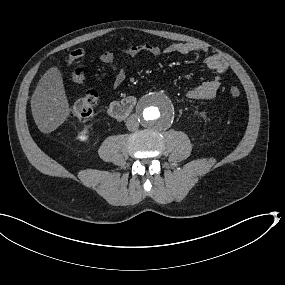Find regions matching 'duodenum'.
I'll list each match as a JSON object with an SVG mask.
<instances>
[{"mask_svg":"<svg viewBox=\"0 0 285 285\" xmlns=\"http://www.w3.org/2000/svg\"><path fill=\"white\" fill-rule=\"evenodd\" d=\"M136 99L132 96L126 97L120 101L112 102L108 107V114L115 119H125L133 111Z\"/></svg>","mask_w":285,"mask_h":285,"instance_id":"obj_1","label":"duodenum"}]
</instances>
